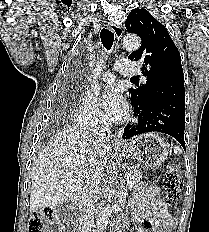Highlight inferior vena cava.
I'll list each match as a JSON object with an SVG mask.
<instances>
[{"label":"inferior vena cava","mask_w":209,"mask_h":232,"mask_svg":"<svg viewBox=\"0 0 209 232\" xmlns=\"http://www.w3.org/2000/svg\"><path fill=\"white\" fill-rule=\"evenodd\" d=\"M100 180L101 172L97 169L85 181L79 199V232H91L94 227V209L99 196Z\"/></svg>","instance_id":"602c4592"}]
</instances>
